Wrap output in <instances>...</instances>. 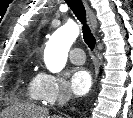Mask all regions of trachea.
Wrapping results in <instances>:
<instances>
[{
	"instance_id": "1",
	"label": "trachea",
	"mask_w": 133,
	"mask_h": 118,
	"mask_svg": "<svg viewBox=\"0 0 133 118\" xmlns=\"http://www.w3.org/2000/svg\"><path fill=\"white\" fill-rule=\"evenodd\" d=\"M66 3L82 24V32L85 43L93 50L96 44L89 25L87 24L86 11L81 0H66Z\"/></svg>"
}]
</instances>
